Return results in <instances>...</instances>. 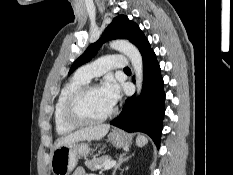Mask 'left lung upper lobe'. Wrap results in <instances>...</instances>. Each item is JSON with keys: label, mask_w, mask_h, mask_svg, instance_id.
Instances as JSON below:
<instances>
[{"label": "left lung upper lobe", "mask_w": 233, "mask_h": 175, "mask_svg": "<svg viewBox=\"0 0 233 175\" xmlns=\"http://www.w3.org/2000/svg\"><path fill=\"white\" fill-rule=\"evenodd\" d=\"M109 39H127L136 45L140 52L149 44L147 38L136 23L129 20L125 15H119L115 17L112 23L107 27L101 39L91 44L73 63L69 74L94 57L101 44Z\"/></svg>", "instance_id": "left-lung-upper-lobe-1"}]
</instances>
